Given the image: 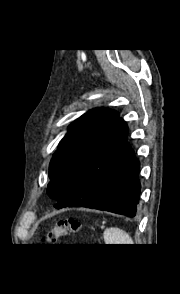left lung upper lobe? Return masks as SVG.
Here are the masks:
<instances>
[{"label": "left lung upper lobe", "instance_id": "1", "mask_svg": "<svg viewBox=\"0 0 180 294\" xmlns=\"http://www.w3.org/2000/svg\"><path fill=\"white\" fill-rule=\"evenodd\" d=\"M120 121L119 113L94 109L75 120L60 141L50 166L47 193L60 200Z\"/></svg>", "mask_w": 180, "mask_h": 294}]
</instances>
